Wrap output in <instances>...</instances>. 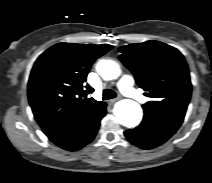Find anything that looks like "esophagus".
I'll use <instances>...</instances> for the list:
<instances>
[{
	"instance_id": "obj_1",
	"label": "esophagus",
	"mask_w": 212,
	"mask_h": 183,
	"mask_svg": "<svg viewBox=\"0 0 212 183\" xmlns=\"http://www.w3.org/2000/svg\"><path fill=\"white\" fill-rule=\"evenodd\" d=\"M119 99H120V97L114 98V99L109 100V102H110V103H115V102L118 101Z\"/></svg>"
}]
</instances>
